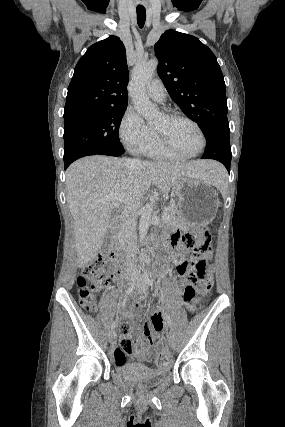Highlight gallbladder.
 <instances>
[{
  "label": "gallbladder",
  "mask_w": 285,
  "mask_h": 427,
  "mask_svg": "<svg viewBox=\"0 0 285 427\" xmlns=\"http://www.w3.org/2000/svg\"><path fill=\"white\" fill-rule=\"evenodd\" d=\"M115 214H116V212H115V209H114V210L112 211V215H111V218H112V219L114 218ZM110 238H111V234H110V232L108 231V232H107V234H106V237H105V246H107V245L109 244Z\"/></svg>",
  "instance_id": "gallbladder-1"
}]
</instances>
